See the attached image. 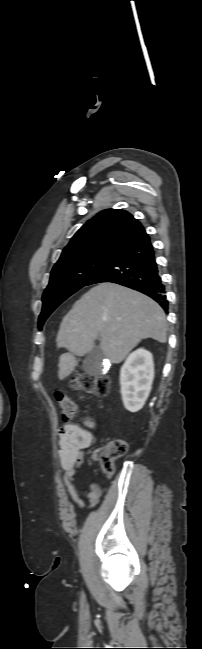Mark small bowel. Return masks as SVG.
Returning <instances> with one entry per match:
<instances>
[{
  "instance_id": "c3829d8e",
  "label": "small bowel",
  "mask_w": 202,
  "mask_h": 649,
  "mask_svg": "<svg viewBox=\"0 0 202 649\" xmlns=\"http://www.w3.org/2000/svg\"><path fill=\"white\" fill-rule=\"evenodd\" d=\"M96 423L87 418L83 426L67 423L59 431V459L64 471L62 481L67 490L70 501L80 510H92L103 496V490L97 483H89L84 489L89 504L85 506L73 483L85 458V450L89 448L94 439Z\"/></svg>"
}]
</instances>
